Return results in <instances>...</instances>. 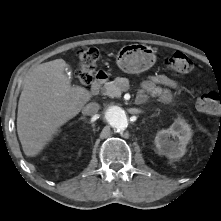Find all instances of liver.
Wrapping results in <instances>:
<instances>
[{
    "label": "liver",
    "mask_w": 221,
    "mask_h": 221,
    "mask_svg": "<svg viewBox=\"0 0 221 221\" xmlns=\"http://www.w3.org/2000/svg\"><path fill=\"white\" fill-rule=\"evenodd\" d=\"M67 67L63 59H56L26 76L17 113V133L26 156L39 154L92 97L86 88L71 86Z\"/></svg>",
    "instance_id": "6515ba94"
}]
</instances>
